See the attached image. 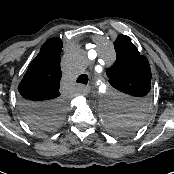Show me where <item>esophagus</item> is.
I'll use <instances>...</instances> for the list:
<instances>
[{
  "instance_id": "1",
  "label": "esophagus",
  "mask_w": 174,
  "mask_h": 174,
  "mask_svg": "<svg viewBox=\"0 0 174 174\" xmlns=\"http://www.w3.org/2000/svg\"><path fill=\"white\" fill-rule=\"evenodd\" d=\"M90 92V87L89 86H84L83 88H82V93L83 94H88Z\"/></svg>"
}]
</instances>
